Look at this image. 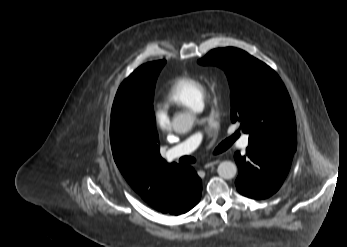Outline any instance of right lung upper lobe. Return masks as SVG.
Listing matches in <instances>:
<instances>
[{"instance_id": "obj_1", "label": "right lung upper lobe", "mask_w": 347, "mask_h": 247, "mask_svg": "<svg viewBox=\"0 0 347 247\" xmlns=\"http://www.w3.org/2000/svg\"><path fill=\"white\" fill-rule=\"evenodd\" d=\"M114 160L130 186L157 211L169 212L183 194V165L168 164L160 155L158 136L131 137L110 127Z\"/></svg>"}]
</instances>
